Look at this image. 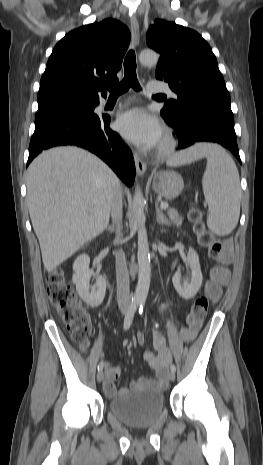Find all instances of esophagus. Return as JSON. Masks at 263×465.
<instances>
[{
  "label": "esophagus",
  "mask_w": 263,
  "mask_h": 465,
  "mask_svg": "<svg viewBox=\"0 0 263 465\" xmlns=\"http://www.w3.org/2000/svg\"><path fill=\"white\" fill-rule=\"evenodd\" d=\"M130 25H131V34H132V41L134 47L138 46L140 40L139 34V23L136 16H131L130 18ZM134 161L136 165V171L138 176L144 175L147 165L145 161L138 155V153H134Z\"/></svg>",
  "instance_id": "34e87169"
}]
</instances>
